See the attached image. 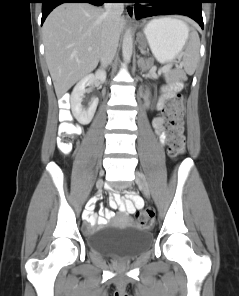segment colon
Segmentation results:
<instances>
[{"mask_svg": "<svg viewBox=\"0 0 239 296\" xmlns=\"http://www.w3.org/2000/svg\"><path fill=\"white\" fill-rule=\"evenodd\" d=\"M183 101V94L178 93L164 112L167 121L169 155L172 158L181 155L184 149ZM59 119V138L57 146L62 153L68 154L72 150L76 135L79 133V127L72 122L71 114L66 108L60 110ZM152 218L153 211L150 208H141L135 214V220L141 225L148 224Z\"/></svg>", "mask_w": 239, "mask_h": 296, "instance_id": "obj_1", "label": "colon"}]
</instances>
